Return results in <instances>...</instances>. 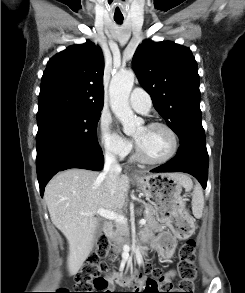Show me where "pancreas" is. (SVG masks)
<instances>
[{"label": "pancreas", "mask_w": 245, "mask_h": 293, "mask_svg": "<svg viewBox=\"0 0 245 293\" xmlns=\"http://www.w3.org/2000/svg\"><path fill=\"white\" fill-rule=\"evenodd\" d=\"M144 219L146 220L145 228L151 230H161L163 225L159 224L156 218V211L147 206L144 212ZM109 242H112L113 246L118 252H121V248L124 244L129 241V228L125 224L117 223L115 225V230L108 235Z\"/></svg>", "instance_id": "pancreas-1"}]
</instances>
